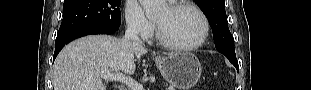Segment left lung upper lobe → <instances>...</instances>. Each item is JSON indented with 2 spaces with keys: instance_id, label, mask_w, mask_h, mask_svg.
Listing matches in <instances>:
<instances>
[{
  "instance_id": "1",
  "label": "left lung upper lobe",
  "mask_w": 311,
  "mask_h": 90,
  "mask_svg": "<svg viewBox=\"0 0 311 90\" xmlns=\"http://www.w3.org/2000/svg\"><path fill=\"white\" fill-rule=\"evenodd\" d=\"M195 2L211 25L216 49L228 59H236L234 40L228 28L224 0H195Z\"/></svg>"
}]
</instances>
